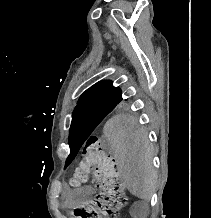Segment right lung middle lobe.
<instances>
[{
    "instance_id": "1",
    "label": "right lung middle lobe",
    "mask_w": 211,
    "mask_h": 218,
    "mask_svg": "<svg viewBox=\"0 0 211 218\" xmlns=\"http://www.w3.org/2000/svg\"><path fill=\"white\" fill-rule=\"evenodd\" d=\"M121 101H96L77 105L73 112L69 140L86 139L110 112L125 107Z\"/></svg>"
}]
</instances>
